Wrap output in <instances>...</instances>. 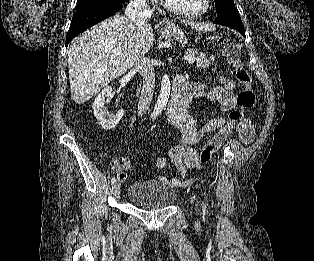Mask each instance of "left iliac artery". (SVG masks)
<instances>
[{
  "label": "left iliac artery",
  "instance_id": "left-iliac-artery-1",
  "mask_svg": "<svg viewBox=\"0 0 314 261\" xmlns=\"http://www.w3.org/2000/svg\"><path fill=\"white\" fill-rule=\"evenodd\" d=\"M206 212V205H205V203L203 202V213H205Z\"/></svg>",
  "mask_w": 314,
  "mask_h": 261
}]
</instances>
